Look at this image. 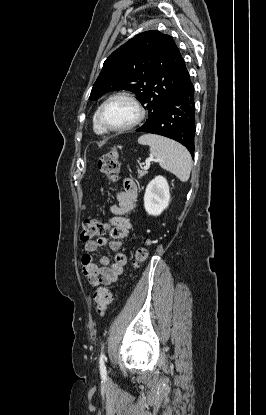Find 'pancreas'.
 I'll use <instances>...</instances> for the list:
<instances>
[{
  "instance_id": "pancreas-1",
  "label": "pancreas",
  "mask_w": 266,
  "mask_h": 415,
  "mask_svg": "<svg viewBox=\"0 0 266 415\" xmlns=\"http://www.w3.org/2000/svg\"><path fill=\"white\" fill-rule=\"evenodd\" d=\"M147 174V171H139L138 172V178H142L143 176H145Z\"/></svg>"
}]
</instances>
